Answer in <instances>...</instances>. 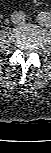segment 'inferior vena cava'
<instances>
[{
    "label": "inferior vena cava",
    "instance_id": "obj_1",
    "mask_svg": "<svg viewBox=\"0 0 51 153\" xmlns=\"http://www.w3.org/2000/svg\"><path fill=\"white\" fill-rule=\"evenodd\" d=\"M26 19V15L24 12L22 11H15L14 13H12L11 15V21L14 24H21L24 23Z\"/></svg>",
    "mask_w": 51,
    "mask_h": 153
}]
</instances>
